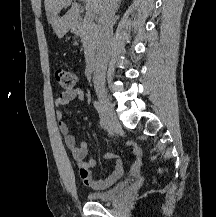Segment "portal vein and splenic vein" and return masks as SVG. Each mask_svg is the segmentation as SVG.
Returning <instances> with one entry per match:
<instances>
[{
  "instance_id": "obj_1",
  "label": "portal vein and splenic vein",
  "mask_w": 216,
  "mask_h": 217,
  "mask_svg": "<svg viewBox=\"0 0 216 217\" xmlns=\"http://www.w3.org/2000/svg\"><path fill=\"white\" fill-rule=\"evenodd\" d=\"M70 2H71V0H70ZM94 16H95V14L92 11H89V10L86 11V14H85L86 20L92 21Z\"/></svg>"
}]
</instances>
